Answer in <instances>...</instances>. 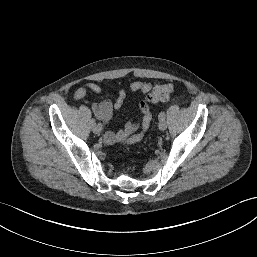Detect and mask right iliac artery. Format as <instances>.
Masks as SVG:
<instances>
[{"instance_id":"1","label":"right iliac artery","mask_w":257,"mask_h":257,"mask_svg":"<svg viewBox=\"0 0 257 257\" xmlns=\"http://www.w3.org/2000/svg\"><path fill=\"white\" fill-rule=\"evenodd\" d=\"M96 125V121H95V119H92V126H95ZM99 125H101V124H99ZM101 127H102V125H101Z\"/></svg>"}]
</instances>
